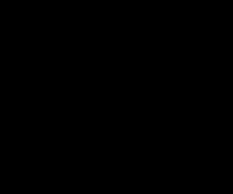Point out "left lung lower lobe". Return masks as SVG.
<instances>
[{"label": "left lung lower lobe", "instance_id": "0a47b994", "mask_svg": "<svg viewBox=\"0 0 233 194\" xmlns=\"http://www.w3.org/2000/svg\"><path fill=\"white\" fill-rule=\"evenodd\" d=\"M181 157L180 153H158L151 151L147 158V165L151 169L160 170L175 163Z\"/></svg>", "mask_w": 233, "mask_h": 194}]
</instances>
